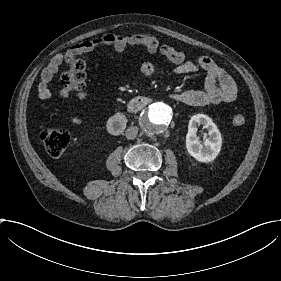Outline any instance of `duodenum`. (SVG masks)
Here are the masks:
<instances>
[{
	"label": "duodenum",
	"instance_id": "410a0bca",
	"mask_svg": "<svg viewBox=\"0 0 281 281\" xmlns=\"http://www.w3.org/2000/svg\"><path fill=\"white\" fill-rule=\"evenodd\" d=\"M151 99L146 96H137L129 101L127 111L137 113L149 105ZM127 125V116L119 112L114 114L108 121L107 128L111 134L118 135L123 132Z\"/></svg>",
	"mask_w": 281,
	"mask_h": 281
}]
</instances>
